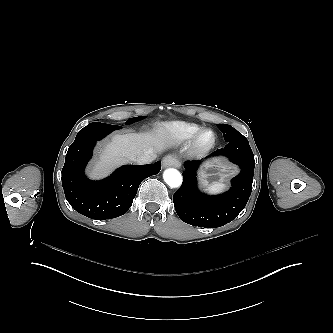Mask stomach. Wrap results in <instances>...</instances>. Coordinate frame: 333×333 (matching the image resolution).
<instances>
[{
    "label": "stomach",
    "instance_id": "obj_1",
    "mask_svg": "<svg viewBox=\"0 0 333 333\" xmlns=\"http://www.w3.org/2000/svg\"><path fill=\"white\" fill-rule=\"evenodd\" d=\"M236 172V168L232 166H224L218 163L207 165L202 172V179L206 184H212L219 181L225 176L232 175Z\"/></svg>",
    "mask_w": 333,
    "mask_h": 333
}]
</instances>
